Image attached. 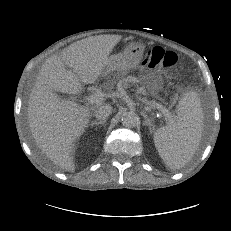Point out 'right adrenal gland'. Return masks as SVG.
Masks as SVG:
<instances>
[{"label": "right adrenal gland", "instance_id": "2a0ac1e0", "mask_svg": "<svg viewBox=\"0 0 231 231\" xmlns=\"http://www.w3.org/2000/svg\"><path fill=\"white\" fill-rule=\"evenodd\" d=\"M106 120H100V121H93L90 125L93 127L94 125H105Z\"/></svg>", "mask_w": 231, "mask_h": 231}]
</instances>
